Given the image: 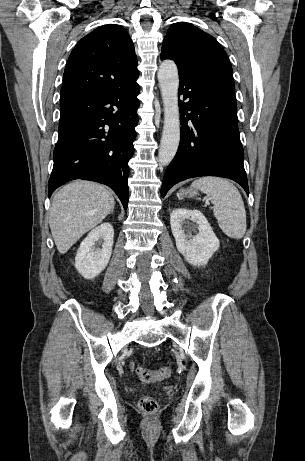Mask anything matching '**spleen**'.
Segmentation results:
<instances>
[{
    "label": "spleen",
    "instance_id": "3e777b00",
    "mask_svg": "<svg viewBox=\"0 0 305 461\" xmlns=\"http://www.w3.org/2000/svg\"><path fill=\"white\" fill-rule=\"evenodd\" d=\"M192 188L205 193L214 205V216L220 229L230 238L241 239L246 232V211L238 189L228 180L219 177H202Z\"/></svg>",
    "mask_w": 305,
    "mask_h": 461
}]
</instances>
